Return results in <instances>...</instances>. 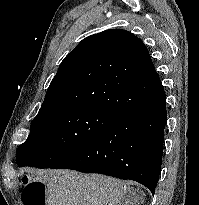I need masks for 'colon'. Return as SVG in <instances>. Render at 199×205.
Segmentation results:
<instances>
[{"label":"colon","mask_w":199,"mask_h":205,"mask_svg":"<svg viewBox=\"0 0 199 205\" xmlns=\"http://www.w3.org/2000/svg\"><path fill=\"white\" fill-rule=\"evenodd\" d=\"M21 196L24 205H46L44 193L35 183L27 180L22 181Z\"/></svg>","instance_id":"5ec220e1"}]
</instances>
